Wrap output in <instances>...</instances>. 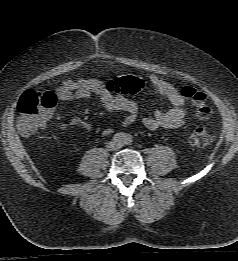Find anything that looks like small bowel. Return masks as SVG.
<instances>
[{"label": "small bowel", "mask_w": 238, "mask_h": 261, "mask_svg": "<svg viewBox=\"0 0 238 261\" xmlns=\"http://www.w3.org/2000/svg\"><path fill=\"white\" fill-rule=\"evenodd\" d=\"M147 78L154 91L164 96L172 105L171 108L165 111L157 110L152 115L141 116L139 106L136 102L127 99L121 94L109 92L106 84L95 78H83L76 81L65 80L61 82L53 94L57 101L82 100L96 95L99 98L101 107L106 111L126 113L120 121V125L123 127L133 124L138 119L149 130H156L158 128L175 129L184 125L189 119L185 109L188 101L181 94V90L154 74H149ZM50 114L51 110L46 117L43 127L46 126ZM60 127L80 128L87 131L91 129L90 123L79 117L70 118L67 122L61 123ZM112 131L113 129L108 127L103 133L109 135Z\"/></svg>", "instance_id": "obj_1"}]
</instances>
